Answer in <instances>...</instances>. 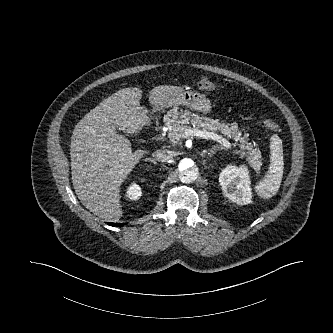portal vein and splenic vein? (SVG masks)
Returning a JSON list of instances; mask_svg holds the SVG:
<instances>
[{
  "label": "portal vein and splenic vein",
  "instance_id": "18ae733b",
  "mask_svg": "<svg viewBox=\"0 0 333 333\" xmlns=\"http://www.w3.org/2000/svg\"><path fill=\"white\" fill-rule=\"evenodd\" d=\"M185 136H195L197 138L215 140L220 144H222L227 149H231L232 147L231 143L227 139L221 137L220 135L215 134L214 132L199 130L197 128L187 129L185 132Z\"/></svg>",
  "mask_w": 333,
  "mask_h": 333
}]
</instances>
